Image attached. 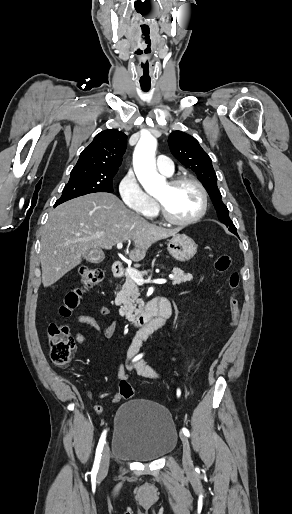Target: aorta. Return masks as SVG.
<instances>
[{
	"label": "aorta",
	"instance_id": "1",
	"mask_svg": "<svg viewBox=\"0 0 292 514\" xmlns=\"http://www.w3.org/2000/svg\"><path fill=\"white\" fill-rule=\"evenodd\" d=\"M157 142L151 134L141 136L134 152V172L145 192L154 196L157 188L165 186L164 176H160L155 168V150Z\"/></svg>",
	"mask_w": 292,
	"mask_h": 514
}]
</instances>
